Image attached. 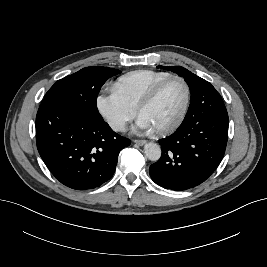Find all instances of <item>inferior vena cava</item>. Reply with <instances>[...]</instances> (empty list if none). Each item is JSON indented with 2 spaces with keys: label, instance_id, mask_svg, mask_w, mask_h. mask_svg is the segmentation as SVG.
Masks as SVG:
<instances>
[{
  "label": "inferior vena cava",
  "instance_id": "obj_1",
  "mask_svg": "<svg viewBox=\"0 0 267 267\" xmlns=\"http://www.w3.org/2000/svg\"><path fill=\"white\" fill-rule=\"evenodd\" d=\"M112 128L117 131H123L125 130V122L117 120L112 123Z\"/></svg>",
  "mask_w": 267,
  "mask_h": 267
}]
</instances>
